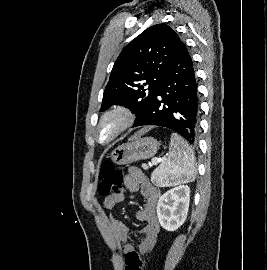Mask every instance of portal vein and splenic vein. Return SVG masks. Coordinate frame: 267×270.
<instances>
[{
    "label": "portal vein and splenic vein",
    "instance_id": "obj_1",
    "mask_svg": "<svg viewBox=\"0 0 267 270\" xmlns=\"http://www.w3.org/2000/svg\"><path fill=\"white\" fill-rule=\"evenodd\" d=\"M161 161H162L161 158H153V159H152V164H153V165H156L157 163H159V162H161Z\"/></svg>",
    "mask_w": 267,
    "mask_h": 270
}]
</instances>
